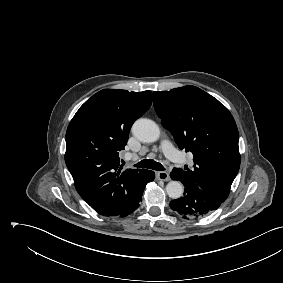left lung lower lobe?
Wrapping results in <instances>:
<instances>
[{"label":"left lung lower lobe","instance_id":"0a47b994","mask_svg":"<svg viewBox=\"0 0 283 283\" xmlns=\"http://www.w3.org/2000/svg\"><path fill=\"white\" fill-rule=\"evenodd\" d=\"M170 177L173 180H180L185 187L184 196L170 202V208L184 219L209 215L223 203L196 185L182 181L173 171Z\"/></svg>","mask_w":283,"mask_h":283}]
</instances>
